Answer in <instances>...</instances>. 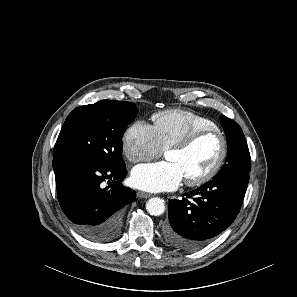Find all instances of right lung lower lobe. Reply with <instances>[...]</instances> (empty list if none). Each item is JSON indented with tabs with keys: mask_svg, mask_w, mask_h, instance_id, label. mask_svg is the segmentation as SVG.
<instances>
[{
	"mask_svg": "<svg viewBox=\"0 0 297 297\" xmlns=\"http://www.w3.org/2000/svg\"><path fill=\"white\" fill-rule=\"evenodd\" d=\"M61 209L86 239L106 243L118 237L123 207L136 192L124 187V167H108L76 156L53 158ZM108 186L104 187V182ZM111 181V182H110Z\"/></svg>",
	"mask_w": 297,
	"mask_h": 297,
	"instance_id": "obj_1",
	"label": "right lung lower lobe"
}]
</instances>
